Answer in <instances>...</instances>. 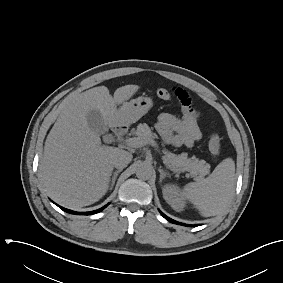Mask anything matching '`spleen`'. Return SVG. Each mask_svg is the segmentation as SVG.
<instances>
[{"label": "spleen", "mask_w": 283, "mask_h": 283, "mask_svg": "<svg viewBox=\"0 0 283 283\" xmlns=\"http://www.w3.org/2000/svg\"><path fill=\"white\" fill-rule=\"evenodd\" d=\"M235 186V162L226 158L204 179L186 184L182 195L205 217L218 215L228 205Z\"/></svg>", "instance_id": "spleen-1"}]
</instances>
